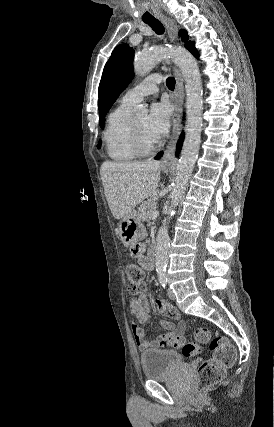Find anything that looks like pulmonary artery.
Listing matches in <instances>:
<instances>
[{
    "mask_svg": "<svg viewBox=\"0 0 274 427\" xmlns=\"http://www.w3.org/2000/svg\"><path fill=\"white\" fill-rule=\"evenodd\" d=\"M161 81L162 77L157 74L145 78L125 93L121 104L130 107L137 105L145 97L157 93Z\"/></svg>",
    "mask_w": 274,
    "mask_h": 427,
    "instance_id": "obj_1",
    "label": "pulmonary artery"
}]
</instances>
